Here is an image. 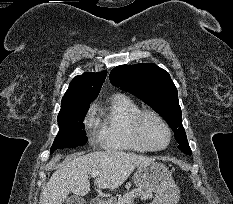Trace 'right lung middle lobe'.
I'll list each match as a JSON object with an SVG mask.
<instances>
[{
    "mask_svg": "<svg viewBox=\"0 0 233 204\" xmlns=\"http://www.w3.org/2000/svg\"><path fill=\"white\" fill-rule=\"evenodd\" d=\"M90 105H78L61 108L58 115L59 133L51 147V153L61 148L85 145L84 117Z\"/></svg>",
    "mask_w": 233,
    "mask_h": 204,
    "instance_id": "right-lung-middle-lobe-1",
    "label": "right lung middle lobe"
}]
</instances>
